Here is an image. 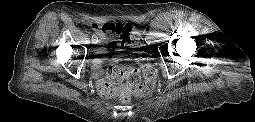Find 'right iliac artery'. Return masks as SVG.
I'll list each match as a JSON object with an SVG mask.
<instances>
[{"instance_id": "82829eb1", "label": "right iliac artery", "mask_w": 255, "mask_h": 122, "mask_svg": "<svg viewBox=\"0 0 255 122\" xmlns=\"http://www.w3.org/2000/svg\"><path fill=\"white\" fill-rule=\"evenodd\" d=\"M97 40H98L97 36L95 34H93L92 35V41H97Z\"/></svg>"}]
</instances>
